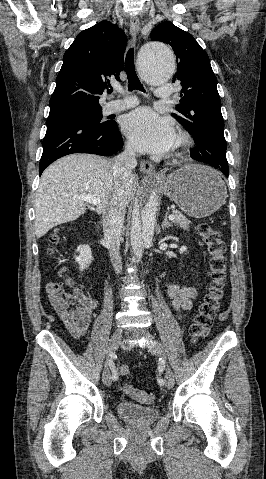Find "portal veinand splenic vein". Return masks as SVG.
<instances>
[{"label":"portal vein and splenic vein","instance_id":"18ae733b","mask_svg":"<svg viewBox=\"0 0 266 479\" xmlns=\"http://www.w3.org/2000/svg\"><path fill=\"white\" fill-rule=\"evenodd\" d=\"M80 199L92 204V205H99L101 200L100 198H97V197H93V196H88V195H80L78 196ZM169 220H174L175 219V215L174 214H171L169 215Z\"/></svg>","mask_w":266,"mask_h":479}]
</instances>
